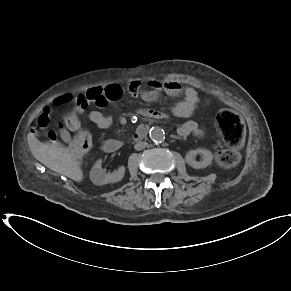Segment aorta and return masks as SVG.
<instances>
[{
    "label": "aorta",
    "mask_w": 291,
    "mask_h": 291,
    "mask_svg": "<svg viewBox=\"0 0 291 291\" xmlns=\"http://www.w3.org/2000/svg\"><path fill=\"white\" fill-rule=\"evenodd\" d=\"M150 138L154 141V142H163L165 139V133L164 130L161 127L155 126L152 127L150 129L149 132Z\"/></svg>",
    "instance_id": "762f6f07"
}]
</instances>
